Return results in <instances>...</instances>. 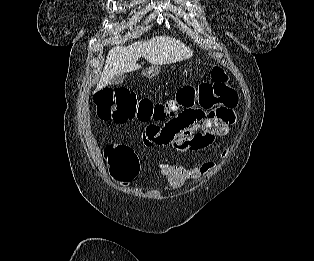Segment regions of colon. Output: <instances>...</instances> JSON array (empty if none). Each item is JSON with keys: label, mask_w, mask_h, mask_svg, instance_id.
<instances>
[{"label": "colon", "mask_w": 314, "mask_h": 261, "mask_svg": "<svg viewBox=\"0 0 314 261\" xmlns=\"http://www.w3.org/2000/svg\"><path fill=\"white\" fill-rule=\"evenodd\" d=\"M234 90L225 70L214 65L211 81L198 86L183 85L167 104L155 103L135 91L125 88H103L95 95L96 113L102 121L146 123L148 129L171 120L181 109H207L225 105L235 99ZM111 175L121 183H130L139 172V160L134 150L122 143H114L105 149Z\"/></svg>", "instance_id": "obj_1"}]
</instances>
